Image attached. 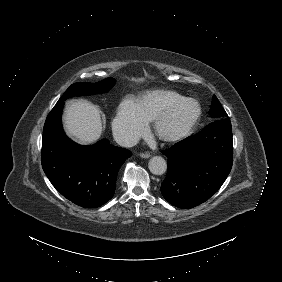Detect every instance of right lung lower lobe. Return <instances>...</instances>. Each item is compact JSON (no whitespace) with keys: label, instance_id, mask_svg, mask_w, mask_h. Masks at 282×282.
I'll return each instance as SVG.
<instances>
[{"label":"right lung lower lobe","instance_id":"1","mask_svg":"<svg viewBox=\"0 0 282 282\" xmlns=\"http://www.w3.org/2000/svg\"><path fill=\"white\" fill-rule=\"evenodd\" d=\"M64 101L49 113L42 139V167L53 186L84 208H96L112 198L117 174L132 153L100 140L81 146L66 137L61 124Z\"/></svg>","mask_w":282,"mask_h":282}]
</instances>
